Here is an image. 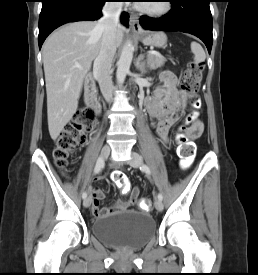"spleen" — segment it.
<instances>
[{
    "label": "spleen",
    "instance_id": "3e777b00",
    "mask_svg": "<svg viewBox=\"0 0 258 275\" xmlns=\"http://www.w3.org/2000/svg\"><path fill=\"white\" fill-rule=\"evenodd\" d=\"M191 51L194 54V61L195 63H202L205 61L206 54L202 46L197 42L191 43Z\"/></svg>",
    "mask_w": 258,
    "mask_h": 275
}]
</instances>
